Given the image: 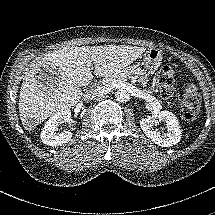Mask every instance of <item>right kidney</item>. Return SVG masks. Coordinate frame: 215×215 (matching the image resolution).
Instances as JSON below:
<instances>
[{
	"instance_id": "1",
	"label": "right kidney",
	"mask_w": 215,
	"mask_h": 215,
	"mask_svg": "<svg viewBox=\"0 0 215 215\" xmlns=\"http://www.w3.org/2000/svg\"><path fill=\"white\" fill-rule=\"evenodd\" d=\"M71 121V110L65 109L54 114L46 123L41 131L40 138L42 142L49 146H61L68 143L73 134L70 131L57 133L60 124Z\"/></svg>"
}]
</instances>
